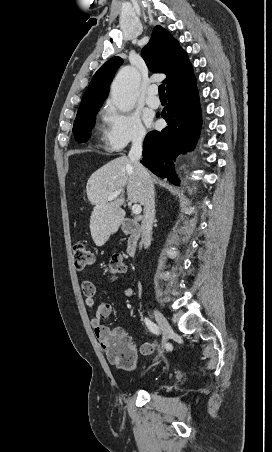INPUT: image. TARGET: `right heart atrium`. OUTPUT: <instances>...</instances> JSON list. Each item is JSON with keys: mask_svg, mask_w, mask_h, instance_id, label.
<instances>
[{"mask_svg": "<svg viewBox=\"0 0 272 452\" xmlns=\"http://www.w3.org/2000/svg\"><path fill=\"white\" fill-rule=\"evenodd\" d=\"M105 123L103 144L108 150H120L129 143L138 144L144 140L145 129L138 115L121 112L108 103L102 112Z\"/></svg>", "mask_w": 272, "mask_h": 452, "instance_id": "1", "label": "right heart atrium"}]
</instances>
